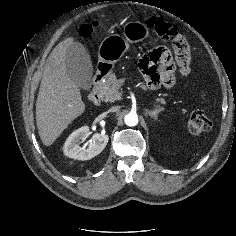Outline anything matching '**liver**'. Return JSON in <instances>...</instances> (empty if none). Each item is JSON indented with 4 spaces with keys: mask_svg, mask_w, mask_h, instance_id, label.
<instances>
[{
    "mask_svg": "<svg viewBox=\"0 0 236 236\" xmlns=\"http://www.w3.org/2000/svg\"><path fill=\"white\" fill-rule=\"evenodd\" d=\"M73 38L60 42L46 60L36 101V123L41 141L51 146L61 133L85 111L78 85L65 68Z\"/></svg>",
    "mask_w": 236,
    "mask_h": 236,
    "instance_id": "1",
    "label": "liver"
}]
</instances>
